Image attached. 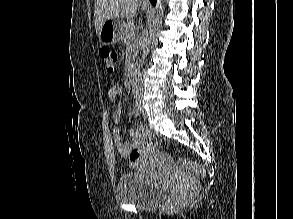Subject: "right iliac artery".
Returning a JSON list of instances; mask_svg holds the SVG:
<instances>
[{
    "instance_id": "1",
    "label": "right iliac artery",
    "mask_w": 293,
    "mask_h": 219,
    "mask_svg": "<svg viewBox=\"0 0 293 219\" xmlns=\"http://www.w3.org/2000/svg\"><path fill=\"white\" fill-rule=\"evenodd\" d=\"M134 98H135V106H134V109H133V113H134L135 116H138L141 113V109H140V105L138 103L139 94L137 92H135Z\"/></svg>"
}]
</instances>
